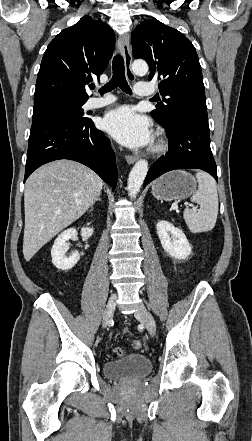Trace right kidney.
Masks as SVG:
<instances>
[{
  "label": "right kidney",
  "mask_w": 252,
  "mask_h": 441,
  "mask_svg": "<svg viewBox=\"0 0 252 441\" xmlns=\"http://www.w3.org/2000/svg\"><path fill=\"white\" fill-rule=\"evenodd\" d=\"M93 232V228L86 227L81 230V236L83 239H88L92 236ZM75 236H77V230L75 228L67 229L56 238L52 246V263L56 268L62 271L70 270L80 259L78 252H74L69 257H66V252L69 249L67 241Z\"/></svg>",
  "instance_id": "ca27d5eb"
}]
</instances>
